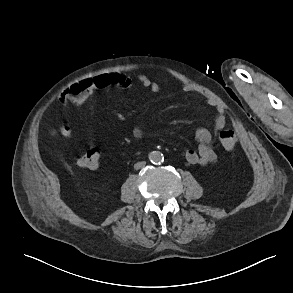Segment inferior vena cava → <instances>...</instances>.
I'll return each mask as SVG.
<instances>
[{"label":"inferior vena cava","instance_id":"1","mask_svg":"<svg viewBox=\"0 0 293 293\" xmlns=\"http://www.w3.org/2000/svg\"><path fill=\"white\" fill-rule=\"evenodd\" d=\"M145 165H146V162H144V161H142V162H137V163L134 165V168H135L136 170H138V169L143 168Z\"/></svg>","mask_w":293,"mask_h":293}]
</instances>
